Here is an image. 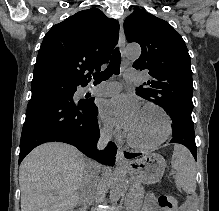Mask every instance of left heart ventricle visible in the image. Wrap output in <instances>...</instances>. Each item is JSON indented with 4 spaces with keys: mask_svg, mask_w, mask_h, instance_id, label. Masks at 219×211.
I'll return each mask as SVG.
<instances>
[{
    "mask_svg": "<svg viewBox=\"0 0 219 211\" xmlns=\"http://www.w3.org/2000/svg\"><path fill=\"white\" fill-rule=\"evenodd\" d=\"M165 131V119L156 109L147 108L140 111L139 117L129 131L134 140L152 143L162 137Z\"/></svg>",
    "mask_w": 219,
    "mask_h": 211,
    "instance_id": "b2bd125f",
    "label": "left heart ventricle"
}]
</instances>
